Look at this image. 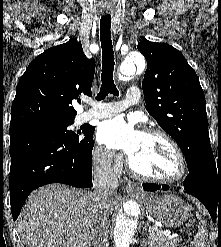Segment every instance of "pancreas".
Returning a JSON list of instances; mask_svg holds the SVG:
<instances>
[{
	"mask_svg": "<svg viewBox=\"0 0 221 247\" xmlns=\"http://www.w3.org/2000/svg\"><path fill=\"white\" fill-rule=\"evenodd\" d=\"M177 240L169 239L159 232L158 228L151 227L148 244L150 247H176Z\"/></svg>",
	"mask_w": 221,
	"mask_h": 247,
	"instance_id": "1",
	"label": "pancreas"
}]
</instances>
